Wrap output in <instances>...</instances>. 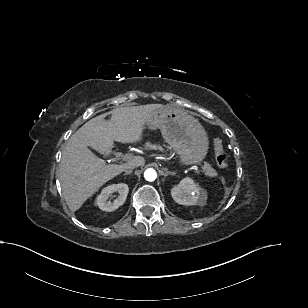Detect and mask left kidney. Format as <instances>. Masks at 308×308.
I'll return each instance as SVG.
<instances>
[{
  "label": "left kidney",
  "mask_w": 308,
  "mask_h": 308,
  "mask_svg": "<svg viewBox=\"0 0 308 308\" xmlns=\"http://www.w3.org/2000/svg\"><path fill=\"white\" fill-rule=\"evenodd\" d=\"M175 202L181 205H196L206 197L205 192L191 178H184L171 190Z\"/></svg>",
  "instance_id": "left-kidney-1"
}]
</instances>
